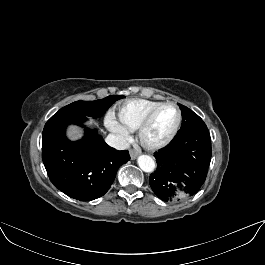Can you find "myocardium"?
<instances>
[{
	"label": "myocardium",
	"instance_id": "f54148a6",
	"mask_svg": "<svg viewBox=\"0 0 265 265\" xmlns=\"http://www.w3.org/2000/svg\"><path fill=\"white\" fill-rule=\"evenodd\" d=\"M165 106H172L175 108V110L177 112L176 123L173 126L172 130L168 133V135L164 139H162L161 141L156 142V143H151L145 139V136H144L145 132H146L148 126L150 125L153 117L157 113V111L159 109H161L162 107H165ZM181 122H182V113H181V110L178 107V105L174 102H171V101L161 102L158 105H156L155 107H153L150 111H148L147 114L142 119V121L140 122V124L137 128L138 141L144 148H146L148 150L162 149L165 146H167L174 139L177 132L179 131V128L181 126Z\"/></svg>",
	"mask_w": 265,
	"mask_h": 265
}]
</instances>
